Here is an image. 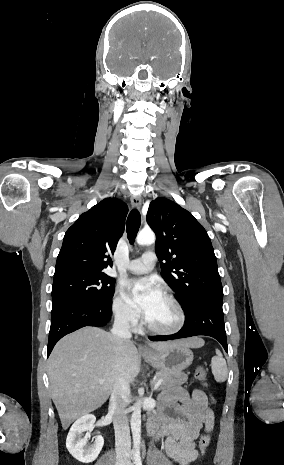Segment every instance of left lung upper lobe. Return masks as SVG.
<instances>
[{"label": "left lung upper lobe", "mask_w": 284, "mask_h": 465, "mask_svg": "<svg viewBox=\"0 0 284 465\" xmlns=\"http://www.w3.org/2000/svg\"><path fill=\"white\" fill-rule=\"evenodd\" d=\"M147 222L156 233L161 275L185 306L198 299L222 301L223 288L210 238L187 210L166 198L153 200Z\"/></svg>", "instance_id": "obj_1"}]
</instances>
